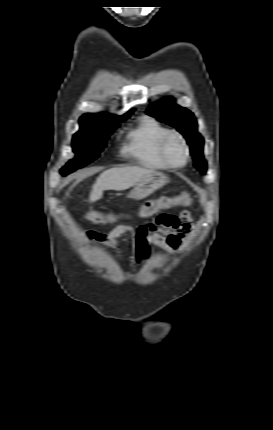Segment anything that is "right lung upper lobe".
<instances>
[{
  "label": "right lung upper lobe",
  "mask_w": 273,
  "mask_h": 430,
  "mask_svg": "<svg viewBox=\"0 0 273 430\" xmlns=\"http://www.w3.org/2000/svg\"><path fill=\"white\" fill-rule=\"evenodd\" d=\"M132 112H133V109H131L130 111H128L126 114L122 116L110 115L107 113H100V114L87 113L80 118V122L91 123V124H104V125L118 124L120 120L129 117L132 114Z\"/></svg>",
  "instance_id": "obj_1"
}]
</instances>
